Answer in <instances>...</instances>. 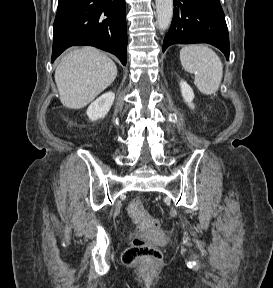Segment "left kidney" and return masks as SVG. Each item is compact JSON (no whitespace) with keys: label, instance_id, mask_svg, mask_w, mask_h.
<instances>
[{"label":"left kidney","instance_id":"1","mask_svg":"<svg viewBox=\"0 0 273 288\" xmlns=\"http://www.w3.org/2000/svg\"><path fill=\"white\" fill-rule=\"evenodd\" d=\"M180 88L184 101L188 104L190 108L193 109L194 105L192 101L194 99V92L192 88L185 81L180 82Z\"/></svg>","mask_w":273,"mask_h":288}]
</instances>
